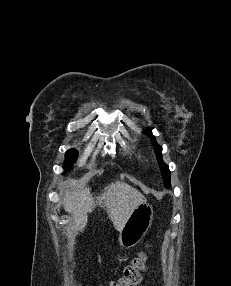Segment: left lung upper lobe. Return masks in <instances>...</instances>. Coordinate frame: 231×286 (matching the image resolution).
Masks as SVG:
<instances>
[{"mask_svg": "<svg viewBox=\"0 0 231 286\" xmlns=\"http://www.w3.org/2000/svg\"><path fill=\"white\" fill-rule=\"evenodd\" d=\"M145 133L149 134V136L151 137V141H152L153 146H154V150H155V153L157 156V160H158V163L160 165V170H161V173L163 176L164 184L166 187H170V176L171 175H170V171H169L168 166L162 160V155H161L162 148L156 143L154 136L151 135L150 130H145Z\"/></svg>", "mask_w": 231, "mask_h": 286, "instance_id": "obj_1", "label": "left lung upper lobe"}]
</instances>
